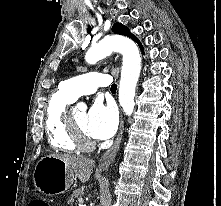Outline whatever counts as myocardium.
I'll return each instance as SVG.
<instances>
[{"label": "myocardium", "instance_id": "f54148a6", "mask_svg": "<svg viewBox=\"0 0 221 206\" xmlns=\"http://www.w3.org/2000/svg\"><path fill=\"white\" fill-rule=\"evenodd\" d=\"M67 119L68 126L78 149L84 151L93 149L95 146L94 141L79 128L72 115L67 114Z\"/></svg>", "mask_w": 221, "mask_h": 206}]
</instances>
